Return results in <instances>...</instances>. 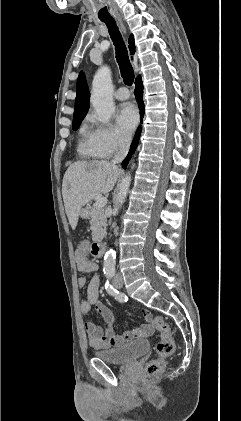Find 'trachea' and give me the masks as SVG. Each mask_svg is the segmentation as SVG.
<instances>
[{"label":"trachea","mask_w":241,"mask_h":421,"mask_svg":"<svg viewBox=\"0 0 241 421\" xmlns=\"http://www.w3.org/2000/svg\"><path fill=\"white\" fill-rule=\"evenodd\" d=\"M109 30L115 45L116 59L120 67L121 76L126 85L131 86L134 81V71L128 58V52L114 19H101Z\"/></svg>","instance_id":"3493384b"}]
</instances>
